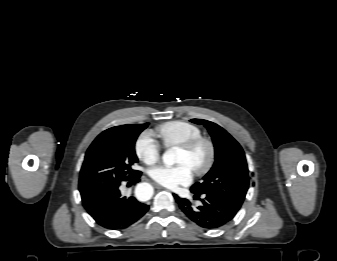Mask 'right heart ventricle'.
<instances>
[{
  "instance_id": "1",
  "label": "right heart ventricle",
  "mask_w": 337,
  "mask_h": 261,
  "mask_svg": "<svg viewBox=\"0 0 337 261\" xmlns=\"http://www.w3.org/2000/svg\"><path fill=\"white\" fill-rule=\"evenodd\" d=\"M157 133L167 147L180 145L201 136L198 126L181 120L169 121L157 127Z\"/></svg>"
}]
</instances>
